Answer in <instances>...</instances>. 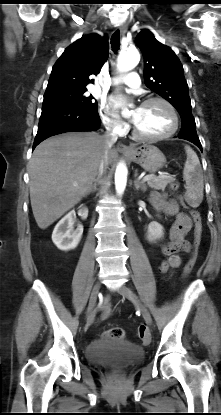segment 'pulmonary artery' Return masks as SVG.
Wrapping results in <instances>:
<instances>
[{"mask_svg": "<svg viewBox=\"0 0 221 415\" xmlns=\"http://www.w3.org/2000/svg\"><path fill=\"white\" fill-rule=\"evenodd\" d=\"M110 83L113 85L125 84L131 88H138L140 86V78L137 73L131 72L127 75L113 78Z\"/></svg>", "mask_w": 221, "mask_h": 415, "instance_id": "obj_1", "label": "pulmonary artery"}]
</instances>
